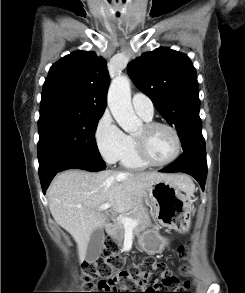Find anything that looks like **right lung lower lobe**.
Instances as JSON below:
<instances>
[{
	"instance_id": "right-lung-lower-lobe-1",
	"label": "right lung lower lobe",
	"mask_w": 245,
	"mask_h": 293,
	"mask_svg": "<svg viewBox=\"0 0 245 293\" xmlns=\"http://www.w3.org/2000/svg\"><path fill=\"white\" fill-rule=\"evenodd\" d=\"M106 168L102 158L84 155H67L53 161L44 171L39 172L43 193L45 194L53 177L67 169H83L87 171H101Z\"/></svg>"
}]
</instances>
